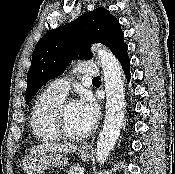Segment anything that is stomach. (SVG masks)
Masks as SVG:
<instances>
[{"instance_id": "obj_1", "label": "stomach", "mask_w": 175, "mask_h": 174, "mask_svg": "<svg viewBox=\"0 0 175 174\" xmlns=\"http://www.w3.org/2000/svg\"><path fill=\"white\" fill-rule=\"evenodd\" d=\"M78 157L88 161L92 151L88 146L78 150ZM68 164V158L63 153L38 151L27 155L23 160V170L27 174H42L48 168H62Z\"/></svg>"}]
</instances>
